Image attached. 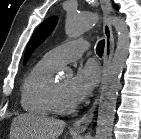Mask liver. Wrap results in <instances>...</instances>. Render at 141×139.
<instances>
[{"mask_svg":"<svg viewBox=\"0 0 141 139\" xmlns=\"http://www.w3.org/2000/svg\"><path fill=\"white\" fill-rule=\"evenodd\" d=\"M66 123L45 114H20L11 124V139H58Z\"/></svg>","mask_w":141,"mask_h":139,"instance_id":"liver-1","label":"liver"}]
</instances>
